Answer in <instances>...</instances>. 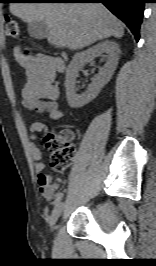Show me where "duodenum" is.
<instances>
[{"mask_svg": "<svg viewBox=\"0 0 156 266\" xmlns=\"http://www.w3.org/2000/svg\"><path fill=\"white\" fill-rule=\"evenodd\" d=\"M56 67L59 70L62 67V61H57Z\"/></svg>", "mask_w": 156, "mask_h": 266, "instance_id": "1", "label": "duodenum"}]
</instances>
